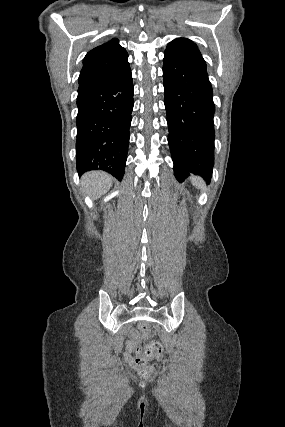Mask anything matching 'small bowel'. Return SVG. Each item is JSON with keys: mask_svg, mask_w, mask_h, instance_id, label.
Instances as JSON below:
<instances>
[{"mask_svg": "<svg viewBox=\"0 0 285 427\" xmlns=\"http://www.w3.org/2000/svg\"><path fill=\"white\" fill-rule=\"evenodd\" d=\"M134 346H135V340L132 339L128 343V346H127V349H126V353L124 354L126 362H128L131 365H133V357H132L131 351L133 350Z\"/></svg>", "mask_w": 285, "mask_h": 427, "instance_id": "small-bowel-1", "label": "small bowel"}]
</instances>
